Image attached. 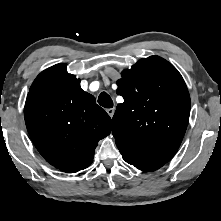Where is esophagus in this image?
<instances>
[{
	"instance_id": "obj_1",
	"label": "esophagus",
	"mask_w": 221,
	"mask_h": 221,
	"mask_svg": "<svg viewBox=\"0 0 221 221\" xmlns=\"http://www.w3.org/2000/svg\"><path fill=\"white\" fill-rule=\"evenodd\" d=\"M106 112H107L108 115L112 118L113 115H114L115 110H114V108H109V109L106 110Z\"/></svg>"
}]
</instances>
